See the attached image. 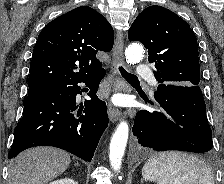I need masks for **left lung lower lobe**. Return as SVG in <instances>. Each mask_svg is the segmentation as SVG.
<instances>
[{"instance_id":"0a47b994","label":"left lung lower lobe","mask_w":224,"mask_h":184,"mask_svg":"<svg viewBox=\"0 0 224 184\" xmlns=\"http://www.w3.org/2000/svg\"><path fill=\"white\" fill-rule=\"evenodd\" d=\"M154 96L157 110H141L135 117L133 134L141 146L195 153L212 149V132L199 86L162 83Z\"/></svg>"}]
</instances>
